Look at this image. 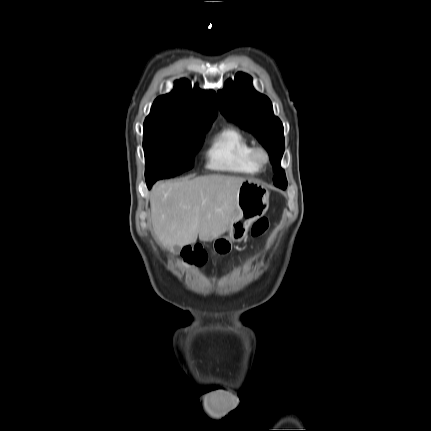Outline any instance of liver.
<instances>
[{"label":"liver","instance_id":"liver-1","mask_svg":"<svg viewBox=\"0 0 431 431\" xmlns=\"http://www.w3.org/2000/svg\"><path fill=\"white\" fill-rule=\"evenodd\" d=\"M245 178L206 175L160 182L150 194L154 232L164 248L210 241L226 232Z\"/></svg>","mask_w":431,"mask_h":431}]
</instances>
